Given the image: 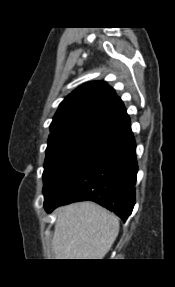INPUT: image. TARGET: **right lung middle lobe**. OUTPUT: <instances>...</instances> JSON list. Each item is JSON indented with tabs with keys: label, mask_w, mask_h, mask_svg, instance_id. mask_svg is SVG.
Instances as JSON below:
<instances>
[{
	"label": "right lung middle lobe",
	"mask_w": 175,
	"mask_h": 287,
	"mask_svg": "<svg viewBox=\"0 0 175 287\" xmlns=\"http://www.w3.org/2000/svg\"><path fill=\"white\" fill-rule=\"evenodd\" d=\"M115 129L106 124H82L52 131L46 149L43 172V194L98 142Z\"/></svg>",
	"instance_id": "1"
}]
</instances>
